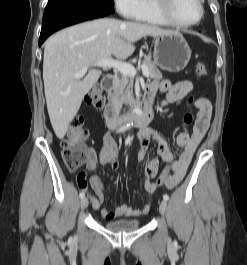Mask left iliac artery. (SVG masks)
<instances>
[{
    "label": "left iliac artery",
    "mask_w": 247,
    "mask_h": 265,
    "mask_svg": "<svg viewBox=\"0 0 247 265\" xmlns=\"http://www.w3.org/2000/svg\"><path fill=\"white\" fill-rule=\"evenodd\" d=\"M163 199L166 200V201H168L169 200V196L167 194H164L163 195Z\"/></svg>",
    "instance_id": "44dca946"
}]
</instances>
